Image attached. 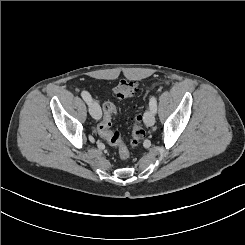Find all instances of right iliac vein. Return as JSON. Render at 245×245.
Returning <instances> with one entry per match:
<instances>
[{
    "mask_svg": "<svg viewBox=\"0 0 245 245\" xmlns=\"http://www.w3.org/2000/svg\"><path fill=\"white\" fill-rule=\"evenodd\" d=\"M88 108L91 116L94 119L99 120L101 118L102 115L101 108L95 100L90 101V103L88 104Z\"/></svg>",
    "mask_w": 245,
    "mask_h": 245,
    "instance_id": "right-iliac-vein-1",
    "label": "right iliac vein"
}]
</instances>
